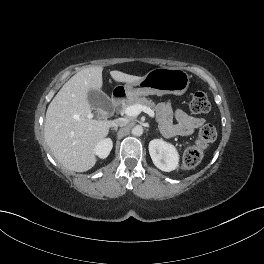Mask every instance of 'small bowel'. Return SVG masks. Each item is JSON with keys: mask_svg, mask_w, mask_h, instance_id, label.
<instances>
[{"mask_svg": "<svg viewBox=\"0 0 264 264\" xmlns=\"http://www.w3.org/2000/svg\"><path fill=\"white\" fill-rule=\"evenodd\" d=\"M161 131L166 137L187 136L204 124V119L174 109L169 102L159 106Z\"/></svg>", "mask_w": 264, "mask_h": 264, "instance_id": "obj_1", "label": "small bowel"}]
</instances>
